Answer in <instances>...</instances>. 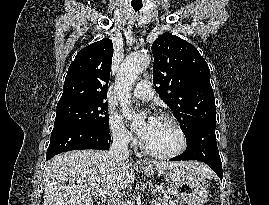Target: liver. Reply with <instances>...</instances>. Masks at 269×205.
Returning <instances> with one entry per match:
<instances>
[{
  "instance_id": "6515ba94",
  "label": "liver",
  "mask_w": 269,
  "mask_h": 205,
  "mask_svg": "<svg viewBox=\"0 0 269 205\" xmlns=\"http://www.w3.org/2000/svg\"><path fill=\"white\" fill-rule=\"evenodd\" d=\"M158 177L168 170L185 168L196 174L211 176L202 163L153 162ZM135 179L134 167L128 160L117 161L108 151L78 150L55 156L47 165L44 205H93L92 192L106 190L112 199L131 186Z\"/></svg>"
}]
</instances>
